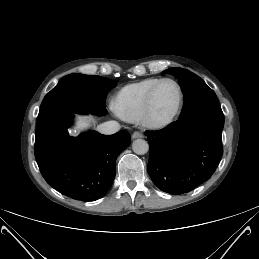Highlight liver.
<instances>
[{
  "mask_svg": "<svg viewBox=\"0 0 259 259\" xmlns=\"http://www.w3.org/2000/svg\"><path fill=\"white\" fill-rule=\"evenodd\" d=\"M92 116H78L74 127L69 131L72 136H77L80 132L85 131L93 121Z\"/></svg>",
  "mask_w": 259,
  "mask_h": 259,
  "instance_id": "1",
  "label": "liver"
}]
</instances>
